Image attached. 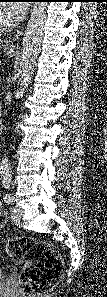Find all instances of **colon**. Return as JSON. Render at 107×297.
Listing matches in <instances>:
<instances>
[{
    "label": "colon",
    "instance_id": "obj_1",
    "mask_svg": "<svg viewBox=\"0 0 107 297\" xmlns=\"http://www.w3.org/2000/svg\"><path fill=\"white\" fill-rule=\"evenodd\" d=\"M7 253L22 267L21 293L24 297H40L50 291L59 280L63 263L47 243L31 238L8 241Z\"/></svg>",
    "mask_w": 107,
    "mask_h": 297
}]
</instances>
